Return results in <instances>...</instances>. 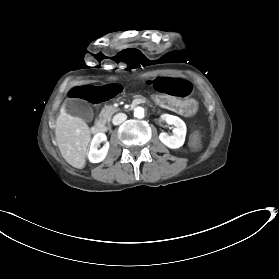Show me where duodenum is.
<instances>
[{
    "label": "duodenum",
    "instance_id": "1",
    "mask_svg": "<svg viewBox=\"0 0 279 279\" xmlns=\"http://www.w3.org/2000/svg\"><path fill=\"white\" fill-rule=\"evenodd\" d=\"M144 102V103H149V100H145V99H140V98H137L134 100V103H137V102ZM102 127V124L100 122H97L95 124V126L92 127V133H96V134H104V133H108V127Z\"/></svg>",
    "mask_w": 279,
    "mask_h": 279
}]
</instances>
